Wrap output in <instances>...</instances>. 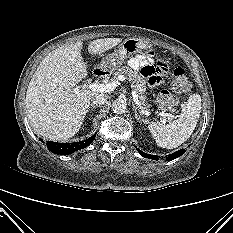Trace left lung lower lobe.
Here are the masks:
<instances>
[{"label": "left lung lower lobe", "mask_w": 233, "mask_h": 233, "mask_svg": "<svg viewBox=\"0 0 233 233\" xmlns=\"http://www.w3.org/2000/svg\"><path fill=\"white\" fill-rule=\"evenodd\" d=\"M137 151L139 152V154L141 156H143L145 158L158 160V156H156V155H150V154L144 153L143 151H141L139 149H137ZM184 153H185V149H181V150H178V151H176V152H174L172 154H169L166 159H167V161H171L173 159H176V158L180 157Z\"/></svg>", "instance_id": "1"}]
</instances>
